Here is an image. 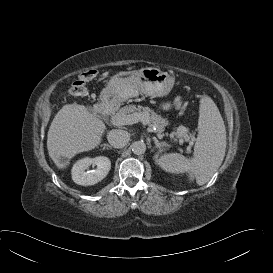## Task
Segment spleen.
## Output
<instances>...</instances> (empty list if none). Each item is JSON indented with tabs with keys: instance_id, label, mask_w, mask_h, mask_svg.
<instances>
[{
	"instance_id": "obj_1",
	"label": "spleen",
	"mask_w": 273,
	"mask_h": 273,
	"mask_svg": "<svg viewBox=\"0 0 273 273\" xmlns=\"http://www.w3.org/2000/svg\"><path fill=\"white\" fill-rule=\"evenodd\" d=\"M226 129L218 107L209 96L199 106L198 135L191 159L178 153L164 154L159 166L170 173H188L198 185L207 183L218 170L225 156Z\"/></svg>"
}]
</instances>
